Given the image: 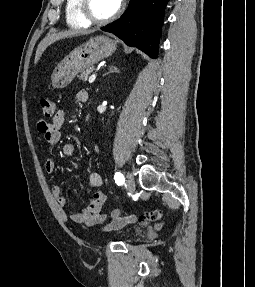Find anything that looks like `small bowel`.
Returning <instances> with one entry per match:
<instances>
[{"mask_svg":"<svg viewBox=\"0 0 255 287\" xmlns=\"http://www.w3.org/2000/svg\"><path fill=\"white\" fill-rule=\"evenodd\" d=\"M77 99L83 102L87 99V94L85 92H79L77 94ZM64 119L65 112L63 110H58L50 122L41 120L38 123L39 132L43 134L45 141L50 146H56L60 142V129L64 123ZM61 152L63 156H73L76 152V146L72 143H67L63 145ZM55 165L56 163L54 158L48 157L44 164L46 172L49 174L53 173L55 170ZM102 185V176L98 172H90L88 175V186L95 191L84 210L81 212L71 213L70 215H68L64 209L66 199L62 194L61 187L54 185L51 188V194L55 201L60 218L65 222L71 220L74 223L86 226L104 225L103 229L107 231L119 229L126 224L133 222H138L143 227H147L151 223H154L156 227H160L162 225V213L159 210H153L140 216L129 215L117 219H112L111 222L105 224L107 221V214L102 212V208L106 202L107 195L101 189Z\"/></svg>","mask_w":255,"mask_h":287,"instance_id":"c3829d8e","label":"small bowel"}]
</instances>
